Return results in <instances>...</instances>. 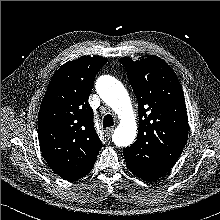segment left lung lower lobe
Masks as SVG:
<instances>
[{
  "label": "left lung lower lobe",
  "mask_w": 220,
  "mask_h": 220,
  "mask_svg": "<svg viewBox=\"0 0 220 220\" xmlns=\"http://www.w3.org/2000/svg\"><path fill=\"white\" fill-rule=\"evenodd\" d=\"M123 153L128 169L134 175L141 179L153 181L160 178L169 171L168 169L160 168L157 166H141L136 162L132 161V159L129 157L128 149H124Z\"/></svg>",
  "instance_id": "0a47b994"
}]
</instances>
